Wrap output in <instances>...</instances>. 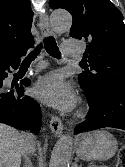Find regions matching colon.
Instances as JSON below:
<instances>
[{
    "instance_id": "obj_1",
    "label": "colon",
    "mask_w": 125,
    "mask_h": 167,
    "mask_svg": "<svg viewBox=\"0 0 125 167\" xmlns=\"http://www.w3.org/2000/svg\"><path fill=\"white\" fill-rule=\"evenodd\" d=\"M117 167H125V144L119 150Z\"/></svg>"
}]
</instances>
